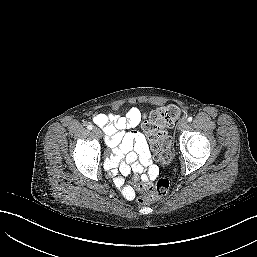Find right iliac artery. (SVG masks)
<instances>
[{
  "label": "right iliac artery",
  "mask_w": 257,
  "mask_h": 257,
  "mask_svg": "<svg viewBox=\"0 0 257 257\" xmlns=\"http://www.w3.org/2000/svg\"><path fill=\"white\" fill-rule=\"evenodd\" d=\"M87 129L92 130L93 126L92 125H87Z\"/></svg>",
  "instance_id": "right-iliac-artery-1"
}]
</instances>
